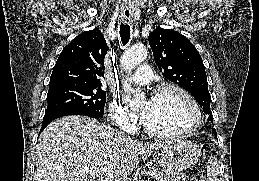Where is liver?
Segmentation results:
<instances>
[{
    "instance_id": "6515ba94",
    "label": "liver",
    "mask_w": 259,
    "mask_h": 181,
    "mask_svg": "<svg viewBox=\"0 0 259 181\" xmlns=\"http://www.w3.org/2000/svg\"><path fill=\"white\" fill-rule=\"evenodd\" d=\"M166 142L143 143L88 117H62L38 139L35 181H124L138 165V155ZM87 168L99 172L91 175Z\"/></svg>"
}]
</instances>
